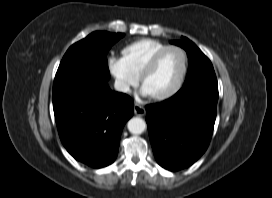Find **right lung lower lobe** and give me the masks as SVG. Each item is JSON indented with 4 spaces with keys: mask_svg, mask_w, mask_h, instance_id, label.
Listing matches in <instances>:
<instances>
[{
    "mask_svg": "<svg viewBox=\"0 0 272 198\" xmlns=\"http://www.w3.org/2000/svg\"><path fill=\"white\" fill-rule=\"evenodd\" d=\"M53 109L67 151L76 160L101 168L115 160L134 105L128 95L111 91L107 81L78 77L53 89Z\"/></svg>",
    "mask_w": 272,
    "mask_h": 198,
    "instance_id": "1",
    "label": "right lung lower lobe"
}]
</instances>
